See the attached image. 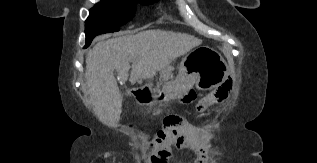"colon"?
Listing matches in <instances>:
<instances>
[{
	"label": "colon",
	"instance_id": "obj_1",
	"mask_svg": "<svg viewBox=\"0 0 317 163\" xmlns=\"http://www.w3.org/2000/svg\"><path fill=\"white\" fill-rule=\"evenodd\" d=\"M232 87L231 81H225L222 85L211 91L209 94L201 97L196 103V109L200 112L206 111L212 105L216 103H221L228 98L229 92ZM190 96L184 99V102H190ZM148 143L152 146L155 142L154 136L147 137Z\"/></svg>",
	"mask_w": 317,
	"mask_h": 163
}]
</instances>
